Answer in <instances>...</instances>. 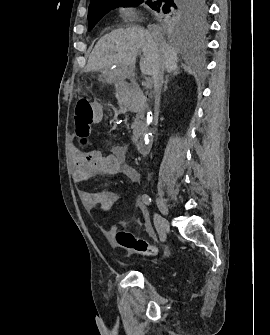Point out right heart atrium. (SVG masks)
<instances>
[{
    "label": "right heart atrium",
    "mask_w": 270,
    "mask_h": 335,
    "mask_svg": "<svg viewBox=\"0 0 270 335\" xmlns=\"http://www.w3.org/2000/svg\"><path fill=\"white\" fill-rule=\"evenodd\" d=\"M121 16L125 22H135L138 19L135 10L130 6H124L121 8Z\"/></svg>",
    "instance_id": "obj_1"
}]
</instances>
